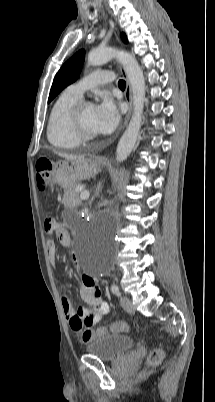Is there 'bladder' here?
<instances>
[{"label":"bladder","mask_w":215,"mask_h":402,"mask_svg":"<svg viewBox=\"0 0 215 402\" xmlns=\"http://www.w3.org/2000/svg\"><path fill=\"white\" fill-rule=\"evenodd\" d=\"M134 346L132 338L120 334H106L88 342L86 351L104 361H113L124 355Z\"/></svg>","instance_id":"obj_1"}]
</instances>
